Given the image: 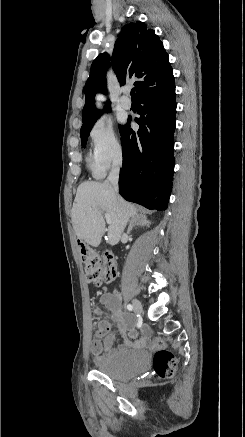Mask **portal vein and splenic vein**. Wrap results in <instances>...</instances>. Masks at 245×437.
I'll use <instances>...</instances> for the list:
<instances>
[{
  "label": "portal vein and splenic vein",
  "mask_w": 245,
  "mask_h": 437,
  "mask_svg": "<svg viewBox=\"0 0 245 437\" xmlns=\"http://www.w3.org/2000/svg\"><path fill=\"white\" fill-rule=\"evenodd\" d=\"M105 219H106V221H107L108 224L111 223V217H110L109 214H105Z\"/></svg>",
  "instance_id": "obj_1"
}]
</instances>
